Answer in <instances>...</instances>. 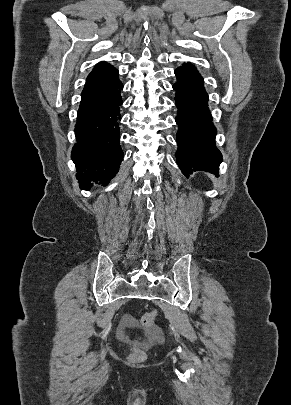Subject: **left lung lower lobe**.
Segmentation results:
<instances>
[{"mask_svg": "<svg viewBox=\"0 0 291 405\" xmlns=\"http://www.w3.org/2000/svg\"><path fill=\"white\" fill-rule=\"evenodd\" d=\"M178 81L174 101L178 107L175 121L177 133V164L185 176L193 171H207L217 175L222 161L221 152L215 147L216 134L208 109V95L203 78L190 63L175 70Z\"/></svg>", "mask_w": 291, "mask_h": 405, "instance_id": "left-lung-lower-lobe-1", "label": "left lung lower lobe"}]
</instances>
